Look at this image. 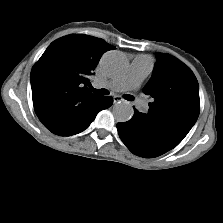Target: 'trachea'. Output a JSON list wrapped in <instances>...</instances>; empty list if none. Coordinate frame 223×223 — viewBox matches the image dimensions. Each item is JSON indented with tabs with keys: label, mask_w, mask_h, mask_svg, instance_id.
Here are the masks:
<instances>
[{
	"label": "trachea",
	"mask_w": 223,
	"mask_h": 223,
	"mask_svg": "<svg viewBox=\"0 0 223 223\" xmlns=\"http://www.w3.org/2000/svg\"><path fill=\"white\" fill-rule=\"evenodd\" d=\"M90 91L94 92V93H97V94H102V95H108L109 94V91L106 90V89H100V90H97V89H94V88H90ZM125 99L127 100H132V97L129 96V95H126L124 96Z\"/></svg>",
	"instance_id": "trachea-1"
}]
</instances>
